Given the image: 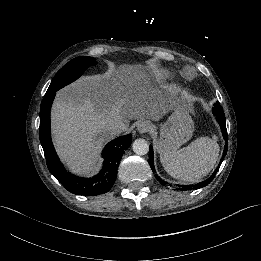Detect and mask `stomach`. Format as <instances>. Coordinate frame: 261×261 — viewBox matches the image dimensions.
Wrapping results in <instances>:
<instances>
[{"label":"stomach","instance_id":"obj_1","mask_svg":"<svg viewBox=\"0 0 261 261\" xmlns=\"http://www.w3.org/2000/svg\"><path fill=\"white\" fill-rule=\"evenodd\" d=\"M172 100L174 113L169 122L163 126L160 138L156 142V149L161 153H171L188 140L193 131L190 116L192 97L184 90L176 89L169 95Z\"/></svg>","mask_w":261,"mask_h":261}]
</instances>
